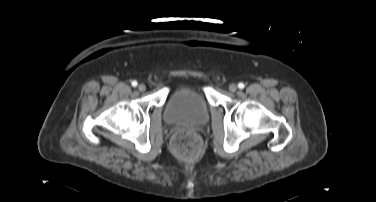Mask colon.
Listing matches in <instances>:
<instances>
[{"instance_id":"1","label":"colon","mask_w":376,"mask_h":202,"mask_svg":"<svg viewBox=\"0 0 376 202\" xmlns=\"http://www.w3.org/2000/svg\"><path fill=\"white\" fill-rule=\"evenodd\" d=\"M202 143L195 133L180 130L171 139V149L173 153L186 161L194 160L201 152Z\"/></svg>"}]
</instances>
